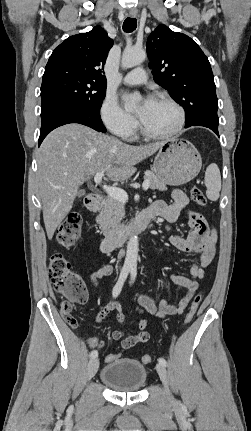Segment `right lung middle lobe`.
Here are the masks:
<instances>
[{"mask_svg":"<svg viewBox=\"0 0 251 431\" xmlns=\"http://www.w3.org/2000/svg\"><path fill=\"white\" fill-rule=\"evenodd\" d=\"M106 83L67 68L45 69L41 86V108L70 104L100 113Z\"/></svg>","mask_w":251,"mask_h":431,"instance_id":"obj_1","label":"right lung middle lobe"}]
</instances>
